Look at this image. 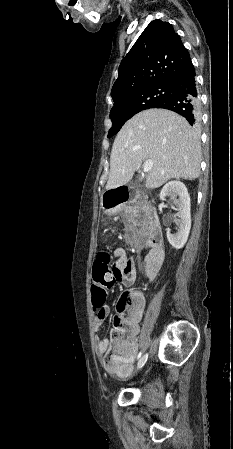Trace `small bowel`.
<instances>
[{
	"label": "small bowel",
	"instance_id": "small-bowel-1",
	"mask_svg": "<svg viewBox=\"0 0 233 449\" xmlns=\"http://www.w3.org/2000/svg\"><path fill=\"white\" fill-rule=\"evenodd\" d=\"M113 256L115 260L110 276L111 282L114 283L120 281L127 287L133 286L135 282V278L133 275L135 264L133 259L129 257L125 250L120 247H117L113 250ZM142 279L144 281H153L155 279V274L153 272H144L142 274ZM109 313L110 308L107 305L103 306V308L97 312V315L93 320L95 331L99 329ZM137 332L131 337L127 349L124 352H116L114 348H111V343L106 337L96 340V352L103 364L106 356H110L112 359L119 361V363L114 368H112V371L119 376L127 375L135 360L138 350Z\"/></svg>",
	"mask_w": 233,
	"mask_h": 449
}]
</instances>
